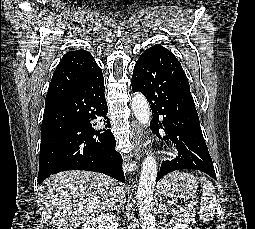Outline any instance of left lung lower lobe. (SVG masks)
I'll list each match as a JSON object with an SVG mask.
<instances>
[{"instance_id":"left-lung-lower-lobe-1","label":"left lung lower lobe","mask_w":255,"mask_h":229,"mask_svg":"<svg viewBox=\"0 0 255 229\" xmlns=\"http://www.w3.org/2000/svg\"><path fill=\"white\" fill-rule=\"evenodd\" d=\"M131 84L133 92L146 95L152 110L153 132L161 138V129L164 139L172 142L179 152L175 159L162 162L156 181L178 169L200 170L216 179L188 79L174 54L159 51L141 55Z\"/></svg>"}]
</instances>
